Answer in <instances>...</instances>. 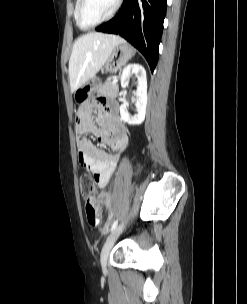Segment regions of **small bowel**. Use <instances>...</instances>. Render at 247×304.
I'll return each mask as SVG.
<instances>
[{
	"instance_id": "c3829d8e",
	"label": "small bowel",
	"mask_w": 247,
	"mask_h": 304,
	"mask_svg": "<svg viewBox=\"0 0 247 304\" xmlns=\"http://www.w3.org/2000/svg\"><path fill=\"white\" fill-rule=\"evenodd\" d=\"M75 130L79 134V162L94 175L97 185L104 188L128 144L127 128L119 117L117 103L99 98L93 104H83L77 113ZM87 134L95 135L112 153L96 147Z\"/></svg>"
}]
</instances>
